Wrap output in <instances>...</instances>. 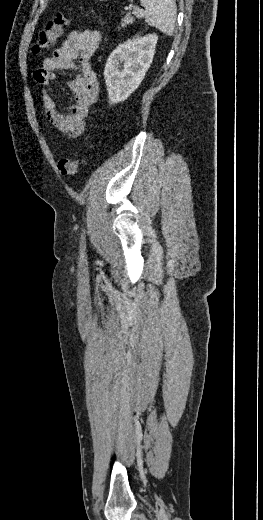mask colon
Masks as SVG:
<instances>
[{
	"mask_svg": "<svg viewBox=\"0 0 263 520\" xmlns=\"http://www.w3.org/2000/svg\"><path fill=\"white\" fill-rule=\"evenodd\" d=\"M69 17L64 13H58L46 26L39 32L33 45V53L39 54L48 50L67 27ZM82 159H61L58 162V169L63 176L75 175L83 165Z\"/></svg>",
	"mask_w": 263,
	"mask_h": 520,
	"instance_id": "5ec220e1",
	"label": "colon"
}]
</instances>
